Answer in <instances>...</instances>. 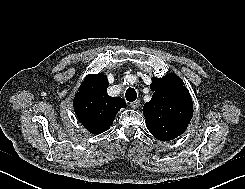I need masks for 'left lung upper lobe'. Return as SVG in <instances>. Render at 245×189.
Wrapping results in <instances>:
<instances>
[{"mask_svg":"<svg viewBox=\"0 0 245 189\" xmlns=\"http://www.w3.org/2000/svg\"><path fill=\"white\" fill-rule=\"evenodd\" d=\"M150 88L154 94L143 107L146 126L156 139L173 140L184 133L193 115L189 91L174 73L154 77Z\"/></svg>","mask_w":245,"mask_h":189,"instance_id":"5c2ea615","label":"left lung upper lobe"}]
</instances>
